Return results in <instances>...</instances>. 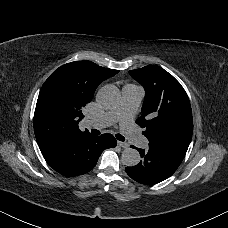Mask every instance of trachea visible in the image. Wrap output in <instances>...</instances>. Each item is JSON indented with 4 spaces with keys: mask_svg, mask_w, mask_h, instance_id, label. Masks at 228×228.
I'll return each mask as SVG.
<instances>
[{
    "mask_svg": "<svg viewBox=\"0 0 228 228\" xmlns=\"http://www.w3.org/2000/svg\"><path fill=\"white\" fill-rule=\"evenodd\" d=\"M91 133L94 135H100V131L96 130V129H91ZM115 137L119 140V141H124L125 138L121 135V134H115Z\"/></svg>",
    "mask_w": 228,
    "mask_h": 228,
    "instance_id": "trachea-1",
    "label": "trachea"
}]
</instances>
